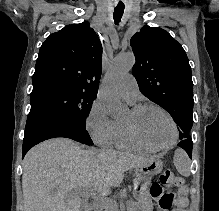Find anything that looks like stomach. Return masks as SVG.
I'll list each match as a JSON object with an SVG mask.
<instances>
[{
    "label": "stomach",
    "instance_id": "obj_1",
    "mask_svg": "<svg viewBox=\"0 0 219 211\" xmlns=\"http://www.w3.org/2000/svg\"><path fill=\"white\" fill-rule=\"evenodd\" d=\"M163 169V162L160 159L153 160L135 168L134 185L136 189V197L139 201V209L147 210L150 199L146 196V188L150 184L153 176L159 174Z\"/></svg>",
    "mask_w": 219,
    "mask_h": 211
}]
</instances>
